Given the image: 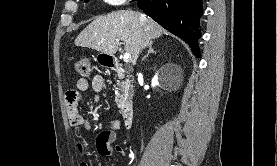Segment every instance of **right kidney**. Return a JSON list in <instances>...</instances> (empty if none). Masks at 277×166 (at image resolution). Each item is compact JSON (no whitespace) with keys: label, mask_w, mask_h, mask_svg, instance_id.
<instances>
[{"label":"right kidney","mask_w":277,"mask_h":166,"mask_svg":"<svg viewBox=\"0 0 277 166\" xmlns=\"http://www.w3.org/2000/svg\"><path fill=\"white\" fill-rule=\"evenodd\" d=\"M157 85L164 87V86L169 85V83H164L163 77L160 75H157L152 79V86L155 87Z\"/></svg>","instance_id":"right-kidney-1"}]
</instances>
